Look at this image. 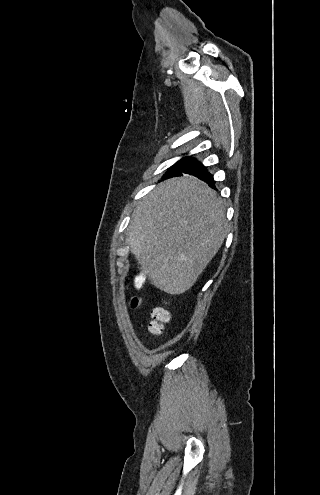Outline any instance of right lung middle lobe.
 Here are the masks:
<instances>
[{"label":"right lung middle lobe","mask_w":320,"mask_h":495,"mask_svg":"<svg viewBox=\"0 0 320 495\" xmlns=\"http://www.w3.org/2000/svg\"><path fill=\"white\" fill-rule=\"evenodd\" d=\"M190 159H191L190 157L185 156L181 160L177 161L173 166L170 167L168 172L164 175V178L180 171L183 167L186 166V164L189 162Z\"/></svg>","instance_id":"obj_1"}]
</instances>
